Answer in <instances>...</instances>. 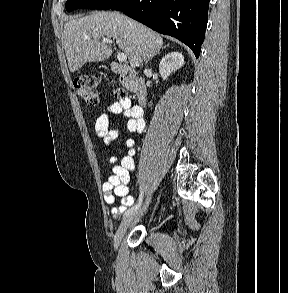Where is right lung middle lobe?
<instances>
[{
  "label": "right lung middle lobe",
  "mask_w": 288,
  "mask_h": 293,
  "mask_svg": "<svg viewBox=\"0 0 288 293\" xmlns=\"http://www.w3.org/2000/svg\"><path fill=\"white\" fill-rule=\"evenodd\" d=\"M122 0H67L66 10L73 11L81 8L107 10Z\"/></svg>",
  "instance_id": "right-lung-middle-lobe-1"
}]
</instances>
